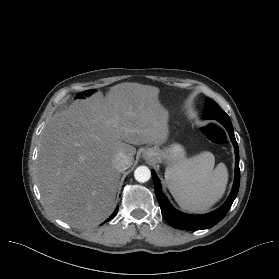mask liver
I'll list each match as a JSON object with an SVG mask.
<instances>
[{"mask_svg":"<svg viewBox=\"0 0 279 279\" xmlns=\"http://www.w3.org/2000/svg\"><path fill=\"white\" fill-rule=\"evenodd\" d=\"M159 89L139 83L113 86L56 112L41 134L36 179L47 210L78 229L97 226L113 210L118 153L134 160L133 145L162 144L169 112Z\"/></svg>","mask_w":279,"mask_h":279,"instance_id":"1","label":"liver"}]
</instances>
